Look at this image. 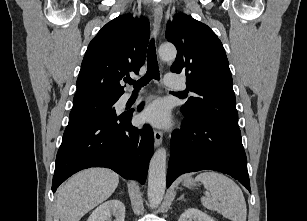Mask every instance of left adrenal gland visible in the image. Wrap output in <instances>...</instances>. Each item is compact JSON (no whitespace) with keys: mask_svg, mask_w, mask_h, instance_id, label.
Returning a JSON list of instances; mask_svg holds the SVG:
<instances>
[{"mask_svg":"<svg viewBox=\"0 0 307 221\" xmlns=\"http://www.w3.org/2000/svg\"><path fill=\"white\" fill-rule=\"evenodd\" d=\"M177 200H185L184 195H181Z\"/></svg>","mask_w":307,"mask_h":221,"instance_id":"a2214340","label":"left adrenal gland"}]
</instances>
